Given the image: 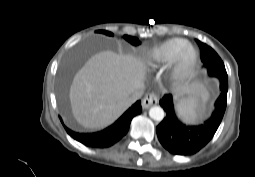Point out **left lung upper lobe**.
Here are the masks:
<instances>
[{
	"instance_id": "left-lung-upper-lobe-1",
	"label": "left lung upper lobe",
	"mask_w": 255,
	"mask_h": 177,
	"mask_svg": "<svg viewBox=\"0 0 255 177\" xmlns=\"http://www.w3.org/2000/svg\"><path fill=\"white\" fill-rule=\"evenodd\" d=\"M196 41L201 49V60L204 66L207 67L208 74L219 79H228L224 63L218 54L208 45L198 40Z\"/></svg>"
}]
</instances>
